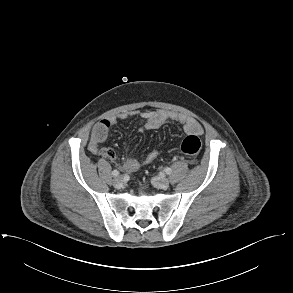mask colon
Here are the masks:
<instances>
[{
    "instance_id": "obj_1",
    "label": "colon",
    "mask_w": 293,
    "mask_h": 293,
    "mask_svg": "<svg viewBox=\"0 0 293 293\" xmlns=\"http://www.w3.org/2000/svg\"><path fill=\"white\" fill-rule=\"evenodd\" d=\"M103 137L104 129L99 126L93 133V140L100 141L103 139ZM180 150L187 156H196L201 150V141L197 136L189 135L182 140L180 144Z\"/></svg>"
}]
</instances>
